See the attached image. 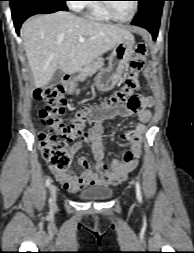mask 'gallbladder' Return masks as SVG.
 Wrapping results in <instances>:
<instances>
[{
  "instance_id": "gallbladder-1",
  "label": "gallbladder",
  "mask_w": 194,
  "mask_h": 253,
  "mask_svg": "<svg viewBox=\"0 0 194 253\" xmlns=\"http://www.w3.org/2000/svg\"><path fill=\"white\" fill-rule=\"evenodd\" d=\"M64 72L61 69H57L54 73L51 81L49 82L50 86H56L61 83Z\"/></svg>"
}]
</instances>
